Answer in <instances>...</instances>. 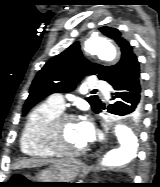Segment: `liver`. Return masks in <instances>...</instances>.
Segmentation results:
<instances>
[{
    "mask_svg": "<svg viewBox=\"0 0 160 187\" xmlns=\"http://www.w3.org/2000/svg\"><path fill=\"white\" fill-rule=\"evenodd\" d=\"M55 161L52 160H38V159H23L16 164H14L13 168L14 169H20V168H30V167H37V166H42L46 165L48 163H54Z\"/></svg>",
    "mask_w": 160,
    "mask_h": 187,
    "instance_id": "6515ba94",
    "label": "liver"
}]
</instances>
